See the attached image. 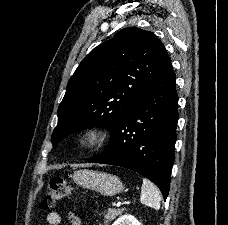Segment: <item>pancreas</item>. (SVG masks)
I'll return each instance as SVG.
<instances>
[{
	"instance_id": "pancreas-1",
	"label": "pancreas",
	"mask_w": 228,
	"mask_h": 225,
	"mask_svg": "<svg viewBox=\"0 0 228 225\" xmlns=\"http://www.w3.org/2000/svg\"><path fill=\"white\" fill-rule=\"evenodd\" d=\"M122 211H125V209H108L104 215L105 225H109L110 221L121 215Z\"/></svg>"
}]
</instances>
